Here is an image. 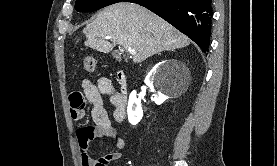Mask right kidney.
Listing matches in <instances>:
<instances>
[{"label": "right kidney", "instance_id": "1", "mask_svg": "<svg viewBox=\"0 0 277 166\" xmlns=\"http://www.w3.org/2000/svg\"><path fill=\"white\" fill-rule=\"evenodd\" d=\"M167 63H170L175 68L184 69V65L181 62L173 60L163 61L157 64L145 78L146 85L152 88L153 83H155L156 87L160 88L158 91H154L155 93L153 94L154 102L158 105L162 104L166 99H168V96L163 94L162 88V70ZM166 86L170 87V83H167ZM127 113L128 120L132 125H136L143 116V110L140 100L136 97V91H133L129 96Z\"/></svg>", "mask_w": 277, "mask_h": 166}]
</instances>
